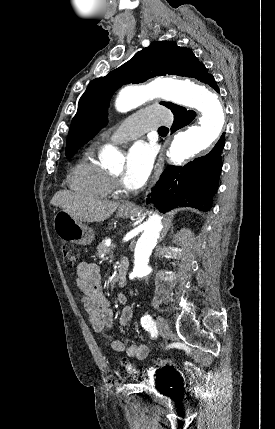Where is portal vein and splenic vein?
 Instances as JSON below:
<instances>
[{"mask_svg": "<svg viewBox=\"0 0 275 429\" xmlns=\"http://www.w3.org/2000/svg\"><path fill=\"white\" fill-rule=\"evenodd\" d=\"M113 247H116V245H115V244H113Z\"/></svg>", "mask_w": 275, "mask_h": 429, "instance_id": "18ae733b", "label": "portal vein and splenic vein"}]
</instances>
